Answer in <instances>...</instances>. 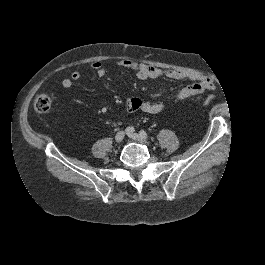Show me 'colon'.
<instances>
[{"label":"colon","instance_id":"1","mask_svg":"<svg viewBox=\"0 0 265 265\" xmlns=\"http://www.w3.org/2000/svg\"><path fill=\"white\" fill-rule=\"evenodd\" d=\"M215 98L214 95H209L205 98L203 104L206 105L210 103ZM52 106V97L49 94H39L35 97L33 101V108L38 113H45L49 111Z\"/></svg>","mask_w":265,"mask_h":265}]
</instances>
